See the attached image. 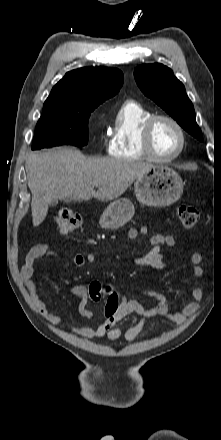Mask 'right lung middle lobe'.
<instances>
[{
    "mask_svg": "<svg viewBox=\"0 0 221 440\" xmlns=\"http://www.w3.org/2000/svg\"><path fill=\"white\" fill-rule=\"evenodd\" d=\"M96 107L45 102L36 126L32 150L59 145H86L88 119Z\"/></svg>",
    "mask_w": 221,
    "mask_h": 440,
    "instance_id": "1",
    "label": "right lung middle lobe"
}]
</instances>
